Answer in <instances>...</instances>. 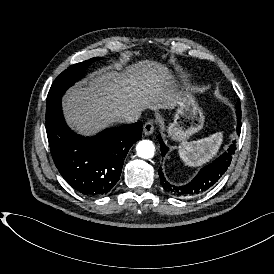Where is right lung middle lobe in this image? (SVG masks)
Instances as JSON below:
<instances>
[{
  "mask_svg": "<svg viewBox=\"0 0 274 274\" xmlns=\"http://www.w3.org/2000/svg\"><path fill=\"white\" fill-rule=\"evenodd\" d=\"M101 59L100 57L92 58L81 63L71 65L64 70L53 82L48 96L47 104L55 99L62 98L65 91L71 87L75 82L80 80L85 73V70L96 60Z\"/></svg>",
  "mask_w": 274,
  "mask_h": 274,
  "instance_id": "dd1d6c3e",
  "label": "right lung middle lobe"
}]
</instances>
